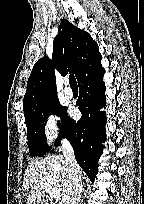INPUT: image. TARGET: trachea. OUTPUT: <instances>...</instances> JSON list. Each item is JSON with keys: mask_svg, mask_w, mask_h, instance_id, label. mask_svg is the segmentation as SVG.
Wrapping results in <instances>:
<instances>
[{"mask_svg": "<svg viewBox=\"0 0 144 204\" xmlns=\"http://www.w3.org/2000/svg\"><path fill=\"white\" fill-rule=\"evenodd\" d=\"M69 84H70V86H71L72 88L78 87L76 78H75V76H74L73 74H71V75L69 76Z\"/></svg>", "mask_w": 144, "mask_h": 204, "instance_id": "3493384b", "label": "trachea"}]
</instances>
